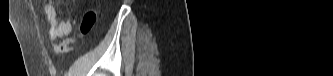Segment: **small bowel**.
Returning a JSON list of instances; mask_svg holds the SVG:
<instances>
[{
	"instance_id": "1",
	"label": "small bowel",
	"mask_w": 333,
	"mask_h": 76,
	"mask_svg": "<svg viewBox=\"0 0 333 76\" xmlns=\"http://www.w3.org/2000/svg\"><path fill=\"white\" fill-rule=\"evenodd\" d=\"M45 12L49 23V36L52 41L69 35L72 32V25L69 21L60 16V10L53 1H48Z\"/></svg>"
}]
</instances>
